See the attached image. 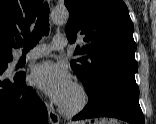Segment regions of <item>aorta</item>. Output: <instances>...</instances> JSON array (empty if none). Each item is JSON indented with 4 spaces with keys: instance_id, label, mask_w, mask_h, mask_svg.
Segmentation results:
<instances>
[{
    "instance_id": "aorta-1",
    "label": "aorta",
    "mask_w": 156,
    "mask_h": 124,
    "mask_svg": "<svg viewBox=\"0 0 156 124\" xmlns=\"http://www.w3.org/2000/svg\"><path fill=\"white\" fill-rule=\"evenodd\" d=\"M52 21L56 24L66 23L69 18V13L66 8H54L51 13Z\"/></svg>"
}]
</instances>
